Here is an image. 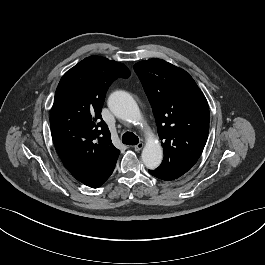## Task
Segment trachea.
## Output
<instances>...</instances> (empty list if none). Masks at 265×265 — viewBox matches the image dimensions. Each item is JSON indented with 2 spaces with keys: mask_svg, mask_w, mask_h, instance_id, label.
Listing matches in <instances>:
<instances>
[{
  "mask_svg": "<svg viewBox=\"0 0 265 265\" xmlns=\"http://www.w3.org/2000/svg\"><path fill=\"white\" fill-rule=\"evenodd\" d=\"M122 142L127 145H136L139 142L138 137L132 132H126L122 136Z\"/></svg>",
  "mask_w": 265,
  "mask_h": 265,
  "instance_id": "1",
  "label": "trachea"
}]
</instances>
